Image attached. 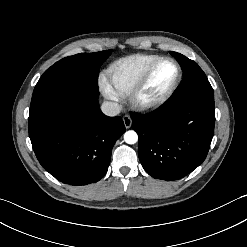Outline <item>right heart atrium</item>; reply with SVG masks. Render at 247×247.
Listing matches in <instances>:
<instances>
[{
  "instance_id": "d8ad5b80",
  "label": "right heart atrium",
  "mask_w": 247,
  "mask_h": 247,
  "mask_svg": "<svg viewBox=\"0 0 247 247\" xmlns=\"http://www.w3.org/2000/svg\"><path fill=\"white\" fill-rule=\"evenodd\" d=\"M99 87L102 93L110 98V99H116L117 98V93L114 91L108 80L104 77L101 76L99 79Z\"/></svg>"
}]
</instances>
